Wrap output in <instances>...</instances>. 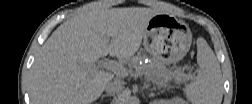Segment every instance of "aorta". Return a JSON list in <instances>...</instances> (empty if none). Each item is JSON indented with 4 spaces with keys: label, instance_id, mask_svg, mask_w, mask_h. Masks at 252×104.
<instances>
[{
    "label": "aorta",
    "instance_id": "aorta-1",
    "mask_svg": "<svg viewBox=\"0 0 252 104\" xmlns=\"http://www.w3.org/2000/svg\"><path fill=\"white\" fill-rule=\"evenodd\" d=\"M124 102H126V103H134L135 101H134L133 97H131L129 94H126L124 96Z\"/></svg>",
    "mask_w": 252,
    "mask_h": 104
}]
</instances>
